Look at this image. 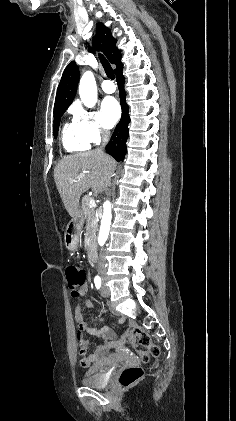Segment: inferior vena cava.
Returning a JSON list of instances; mask_svg holds the SVG:
<instances>
[{"label":"inferior vena cava","instance_id":"obj_1","mask_svg":"<svg viewBox=\"0 0 236 421\" xmlns=\"http://www.w3.org/2000/svg\"><path fill=\"white\" fill-rule=\"evenodd\" d=\"M101 136H102V144L101 146H98V148H95L97 152H104L103 148L106 146L109 136H110V130H101ZM105 259L104 257H100V261H98V273H105Z\"/></svg>","mask_w":236,"mask_h":421}]
</instances>
